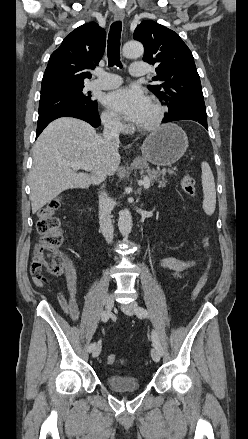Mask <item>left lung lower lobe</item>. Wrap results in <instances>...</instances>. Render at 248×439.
<instances>
[{
    "mask_svg": "<svg viewBox=\"0 0 248 439\" xmlns=\"http://www.w3.org/2000/svg\"><path fill=\"white\" fill-rule=\"evenodd\" d=\"M179 120H193L203 125L207 130V114L206 111L186 108L180 109L172 114H168L162 120V123H168Z\"/></svg>",
    "mask_w": 248,
    "mask_h": 439,
    "instance_id": "1",
    "label": "left lung lower lobe"
}]
</instances>
